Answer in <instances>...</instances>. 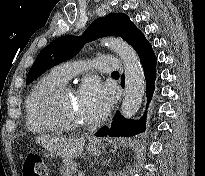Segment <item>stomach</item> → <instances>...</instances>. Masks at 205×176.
Masks as SVG:
<instances>
[{
	"mask_svg": "<svg viewBox=\"0 0 205 176\" xmlns=\"http://www.w3.org/2000/svg\"><path fill=\"white\" fill-rule=\"evenodd\" d=\"M107 145V144H106ZM105 150V144L101 139H90L87 145V151L91 155H101ZM63 176H72L77 171V163L73 159H63L62 162Z\"/></svg>",
	"mask_w": 205,
	"mask_h": 176,
	"instance_id": "stomach-1",
	"label": "stomach"
}]
</instances>
